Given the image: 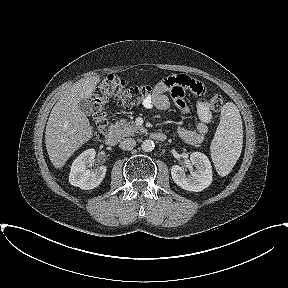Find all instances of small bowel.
Returning <instances> with one entry per match:
<instances>
[{
	"instance_id": "small-bowel-1",
	"label": "small bowel",
	"mask_w": 288,
	"mask_h": 288,
	"mask_svg": "<svg viewBox=\"0 0 288 288\" xmlns=\"http://www.w3.org/2000/svg\"><path fill=\"white\" fill-rule=\"evenodd\" d=\"M186 90H191L199 97L196 104L198 122L195 130L179 127L177 135L188 145L197 146L208 133V125L212 121V112L208 102L203 98L205 87L198 81L185 75L171 76L154 86L153 94L143 102L147 109L167 110L175 105L181 112L187 113L189 108L184 100ZM171 96V99L169 98Z\"/></svg>"
}]
</instances>
